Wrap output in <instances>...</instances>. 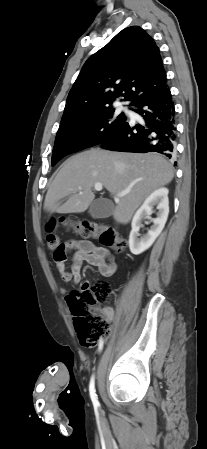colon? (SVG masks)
<instances>
[{"label": "colon", "instance_id": "1", "mask_svg": "<svg viewBox=\"0 0 207 449\" xmlns=\"http://www.w3.org/2000/svg\"><path fill=\"white\" fill-rule=\"evenodd\" d=\"M58 226L73 231L83 238H96L118 251L123 250L127 244L126 240L118 237L111 228L101 227L92 222L67 220L49 222L45 226V240L49 249L53 251L54 260L57 263H64L67 259L66 245L60 243L55 232ZM109 294V286L105 282L93 287L85 283L79 290L73 291L66 297L81 345L95 346L100 339L109 335L110 325L100 309V306L108 300Z\"/></svg>", "mask_w": 207, "mask_h": 449}]
</instances>
